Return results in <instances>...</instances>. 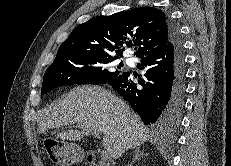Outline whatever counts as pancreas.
Returning <instances> with one entry per match:
<instances>
[{"label":"pancreas","mask_w":231,"mask_h":166,"mask_svg":"<svg viewBox=\"0 0 231 166\" xmlns=\"http://www.w3.org/2000/svg\"><path fill=\"white\" fill-rule=\"evenodd\" d=\"M96 166H107V165H106V163H104L103 161H99V162H98V165H96Z\"/></svg>","instance_id":"cf45deb5"}]
</instances>
